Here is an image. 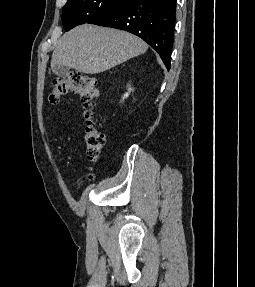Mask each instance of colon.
<instances>
[{
  "instance_id": "obj_1",
  "label": "colon",
  "mask_w": 255,
  "mask_h": 287,
  "mask_svg": "<svg viewBox=\"0 0 255 287\" xmlns=\"http://www.w3.org/2000/svg\"><path fill=\"white\" fill-rule=\"evenodd\" d=\"M69 94H79L84 106L85 126V146L87 158L95 162L101 154L105 144V137L92 122V106L95 99L99 96L97 81L81 74L78 71H72L66 78L54 81L52 90L48 95V102L51 105H57L62 98Z\"/></svg>"
}]
</instances>
